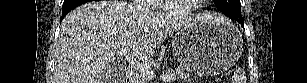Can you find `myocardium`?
Segmentation results:
<instances>
[{
  "label": "myocardium",
  "mask_w": 307,
  "mask_h": 83,
  "mask_svg": "<svg viewBox=\"0 0 307 83\" xmlns=\"http://www.w3.org/2000/svg\"><path fill=\"white\" fill-rule=\"evenodd\" d=\"M203 2H205V0H197L191 6L173 7L169 1H161L159 8L162 10V12L167 14L187 15L198 10Z\"/></svg>",
  "instance_id": "myocardium-1"
}]
</instances>
